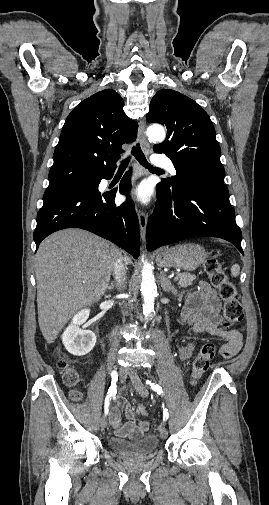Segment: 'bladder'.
<instances>
[{"mask_svg":"<svg viewBox=\"0 0 269 505\" xmlns=\"http://www.w3.org/2000/svg\"><path fill=\"white\" fill-rule=\"evenodd\" d=\"M158 438L147 434L134 440L111 437L108 446L115 454L126 459L146 458L154 454L158 448Z\"/></svg>","mask_w":269,"mask_h":505,"instance_id":"31cf9c89","label":"bladder"}]
</instances>
